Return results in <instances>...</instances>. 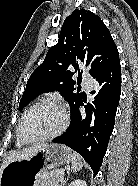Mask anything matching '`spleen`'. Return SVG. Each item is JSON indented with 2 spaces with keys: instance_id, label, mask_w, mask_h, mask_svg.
<instances>
[{
  "instance_id": "3e777b00",
  "label": "spleen",
  "mask_w": 138,
  "mask_h": 186,
  "mask_svg": "<svg viewBox=\"0 0 138 186\" xmlns=\"http://www.w3.org/2000/svg\"><path fill=\"white\" fill-rule=\"evenodd\" d=\"M72 170L74 172H77L79 171L80 169H82L83 167V162H82V158L79 154H77L76 152H74L72 154Z\"/></svg>"
}]
</instances>
